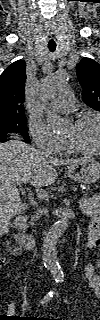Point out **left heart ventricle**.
<instances>
[{
    "instance_id": "obj_1",
    "label": "left heart ventricle",
    "mask_w": 100,
    "mask_h": 320,
    "mask_svg": "<svg viewBox=\"0 0 100 320\" xmlns=\"http://www.w3.org/2000/svg\"><path fill=\"white\" fill-rule=\"evenodd\" d=\"M64 137L84 149H96L99 142V125L95 120H87L81 124L71 123Z\"/></svg>"
}]
</instances>
